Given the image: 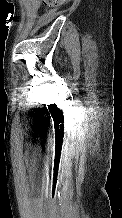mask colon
Segmentation results:
<instances>
[{
    "mask_svg": "<svg viewBox=\"0 0 122 218\" xmlns=\"http://www.w3.org/2000/svg\"><path fill=\"white\" fill-rule=\"evenodd\" d=\"M48 6H53L56 4L57 0H45Z\"/></svg>",
    "mask_w": 122,
    "mask_h": 218,
    "instance_id": "colon-1",
    "label": "colon"
}]
</instances>
